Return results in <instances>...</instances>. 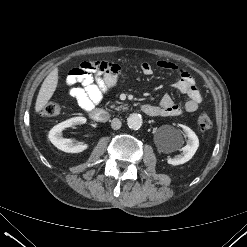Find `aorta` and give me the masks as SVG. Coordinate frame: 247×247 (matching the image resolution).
Here are the masks:
<instances>
[{"mask_svg":"<svg viewBox=\"0 0 247 247\" xmlns=\"http://www.w3.org/2000/svg\"><path fill=\"white\" fill-rule=\"evenodd\" d=\"M143 120L142 116L137 113H132L127 118V124L130 129L138 130L142 126Z\"/></svg>","mask_w":247,"mask_h":247,"instance_id":"aorta-1","label":"aorta"}]
</instances>
